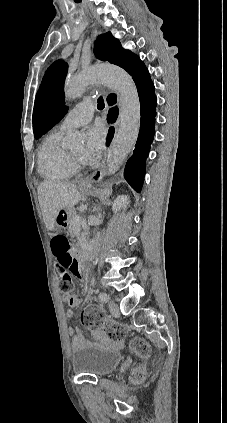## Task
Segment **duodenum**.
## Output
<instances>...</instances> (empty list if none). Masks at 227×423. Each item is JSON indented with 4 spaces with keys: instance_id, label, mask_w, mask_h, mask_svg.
Masks as SVG:
<instances>
[{
    "instance_id": "410a0bca",
    "label": "duodenum",
    "mask_w": 227,
    "mask_h": 423,
    "mask_svg": "<svg viewBox=\"0 0 227 423\" xmlns=\"http://www.w3.org/2000/svg\"><path fill=\"white\" fill-rule=\"evenodd\" d=\"M94 248H95V246L90 247L88 249H84V250L86 251V254L89 255Z\"/></svg>"
}]
</instances>
